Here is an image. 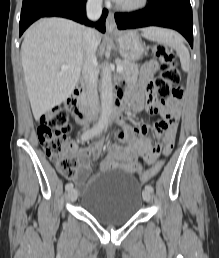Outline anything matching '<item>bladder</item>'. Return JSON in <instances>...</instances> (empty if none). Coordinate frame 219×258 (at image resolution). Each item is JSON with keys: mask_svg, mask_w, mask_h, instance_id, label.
I'll use <instances>...</instances> for the list:
<instances>
[{"mask_svg": "<svg viewBox=\"0 0 219 258\" xmlns=\"http://www.w3.org/2000/svg\"><path fill=\"white\" fill-rule=\"evenodd\" d=\"M83 210L108 226L129 222L142 206L136 178L118 169L100 172L88 183L81 198Z\"/></svg>", "mask_w": 219, "mask_h": 258, "instance_id": "obj_1", "label": "bladder"}]
</instances>
